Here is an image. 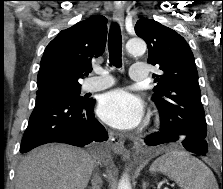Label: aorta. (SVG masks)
<instances>
[{
  "mask_svg": "<svg viewBox=\"0 0 223 189\" xmlns=\"http://www.w3.org/2000/svg\"><path fill=\"white\" fill-rule=\"evenodd\" d=\"M126 49L129 54L140 56L143 55L146 51V43L140 38H132L127 41ZM118 189H131L127 175H124L120 180Z\"/></svg>",
  "mask_w": 223,
  "mask_h": 189,
  "instance_id": "obj_1",
  "label": "aorta"
}]
</instances>
